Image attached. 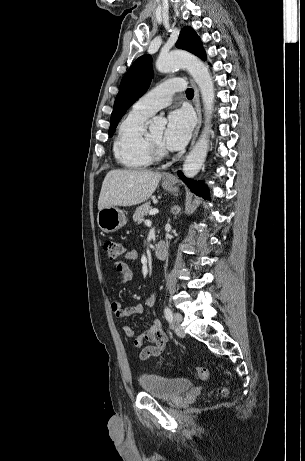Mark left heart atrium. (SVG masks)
Wrapping results in <instances>:
<instances>
[{
	"mask_svg": "<svg viewBox=\"0 0 305 461\" xmlns=\"http://www.w3.org/2000/svg\"><path fill=\"white\" fill-rule=\"evenodd\" d=\"M193 125V116L187 109L171 112L163 135V146L171 151L183 148L190 139Z\"/></svg>",
	"mask_w": 305,
	"mask_h": 461,
	"instance_id": "left-heart-atrium-1",
	"label": "left heart atrium"
}]
</instances>
